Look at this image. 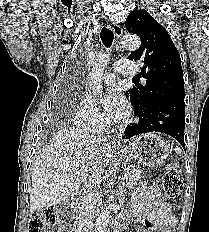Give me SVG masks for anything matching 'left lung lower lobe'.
<instances>
[{"mask_svg":"<svg viewBox=\"0 0 209 232\" xmlns=\"http://www.w3.org/2000/svg\"><path fill=\"white\" fill-rule=\"evenodd\" d=\"M139 122L137 125L128 126L122 138L129 139L133 136L161 132L175 138L185 149V104L184 101H160L135 112Z\"/></svg>","mask_w":209,"mask_h":232,"instance_id":"0a47b994","label":"left lung lower lobe"}]
</instances>
